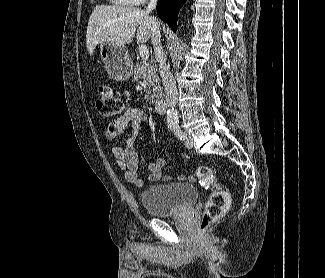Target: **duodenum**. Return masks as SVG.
Returning a JSON list of instances; mask_svg holds the SVG:
<instances>
[{
	"label": "duodenum",
	"mask_w": 325,
	"mask_h": 278,
	"mask_svg": "<svg viewBox=\"0 0 325 278\" xmlns=\"http://www.w3.org/2000/svg\"><path fill=\"white\" fill-rule=\"evenodd\" d=\"M154 109L158 113H164L166 110V101L162 98L156 99L154 101Z\"/></svg>",
	"instance_id": "410a0bca"
}]
</instances>
